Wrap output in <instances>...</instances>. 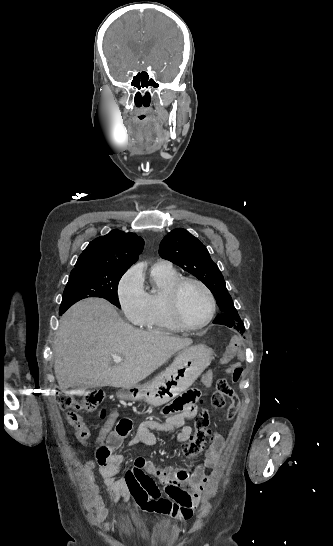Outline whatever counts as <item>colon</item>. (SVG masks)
I'll use <instances>...</instances> for the list:
<instances>
[{
  "instance_id": "obj_1",
  "label": "colon",
  "mask_w": 333,
  "mask_h": 546,
  "mask_svg": "<svg viewBox=\"0 0 333 546\" xmlns=\"http://www.w3.org/2000/svg\"><path fill=\"white\" fill-rule=\"evenodd\" d=\"M230 342L229 344H232ZM239 348V344L237 343ZM227 374L231 375V384L239 385L241 380L244 379L245 367L242 366V361L237 359L236 362H233V365L227 367ZM196 393L189 391L183 394L181 397L177 398L173 405L177 408L189 406L195 403ZM226 399L231 400L232 403H237V395L228 382L227 379L221 378L217 381L216 391L211 396V404L216 409H222L226 405ZM59 405L64 410H75L69 411L66 414L67 422L75 428L76 434L85 435L87 433V427L83 421L81 415L77 412L78 410H95L103 401V393L100 391H93L85 394L82 399L77 400L72 397H69L65 394H61L58 398ZM194 407V406H193ZM105 415V412H102V416ZM116 430L124 434L128 430V426L118 423ZM211 435L209 430V414L207 410L203 407L199 408L197 416L195 418V432L190 438L189 442L184 446L183 453L184 455L192 459L198 454H200L210 442ZM111 453V447L109 444L103 442L99 444L96 448V458L104 459Z\"/></svg>"
}]
</instances>
